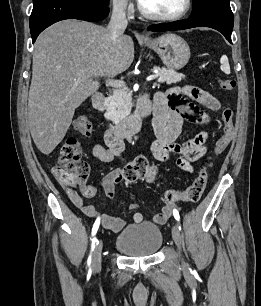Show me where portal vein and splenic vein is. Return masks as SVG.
<instances>
[{
    "mask_svg": "<svg viewBox=\"0 0 261 306\" xmlns=\"http://www.w3.org/2000/svg\"><path fill=\"white\" fill-rule=\"evenodd\" d=\"M158 75L157 74H153L150 75L146 78L147 81H152L154 79H156ZM84 77H79L77 79H74L75 82H80L81 80H83ZM107 85L114 87V88H120L123 87L125 85V83L123 81H119V80H114V79H107L106 80Z\"/></svg>",
    "mask_w": 261,
    "mask_h": 306,
    "instance_id": "portal-vein-and-splenic-vein-1",
    "label": "portal vein and splenic vein"
}]
</instances>
